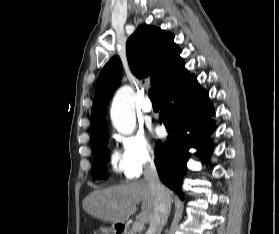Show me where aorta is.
<instances>
[{
    "mask_svg": "<svg viewBox=\"0 0 279 234\" xmlns=\"http://www.w3.org/2000/svg\"><path fill=\"white\" fill-rule=\"evenodd\" d=\"M113 126L122 134H131L136 127L135 96L129 86L121 87L115 94L110 110Z\"/></svg>",
    "mask_w": 279,
    "mask_h": 234,
    "instance_id": "1",
    "label": "aorta"
}]
</instances>
